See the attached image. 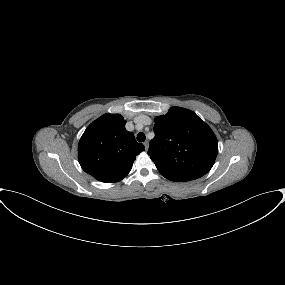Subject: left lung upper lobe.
<instances>
[{
	"instance_id": "obj_1",
	"label": "left lung upper lobe",
	"mask_w": 285,
	"mask_h": 285,
	"mask_svg": "<svg viewBox=\"0 0 285 285\" xmlns=\"http://www.w3.org/2000/svg\"><path fill=\"white\" fill-rule=\"evenodd\" d=\"M154 122L155 137L150 141L148 155L166 179L186 182L210 171L218 142L211 128L193 111L171 107Z\"/></svg>"
}]
</instances>
